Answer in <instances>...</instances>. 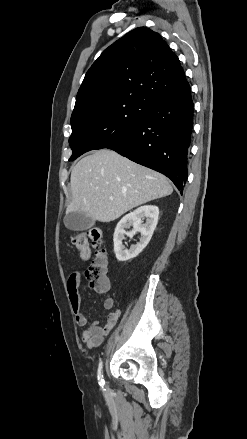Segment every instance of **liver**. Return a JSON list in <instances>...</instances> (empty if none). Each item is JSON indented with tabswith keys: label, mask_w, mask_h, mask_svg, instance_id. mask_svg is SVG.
Masks as SVG:
<instances>
[{
	"label": "liver",
	"mask_w": 247,
	"mask_h": 439,
	"mask_svg": "<svg viewBox=\"0 0 247 439\" xmlns=\"http://www.w3.org/2000/svg\"><path fill=\"white\" fill-rule=\"evenodd\" d=\"M70 183L67 213H84L100 222H111L173 192L164 175L109 149L82 158L72 169Z\"/></svg>",
	"instance_id": "1"
}]
</instances>
